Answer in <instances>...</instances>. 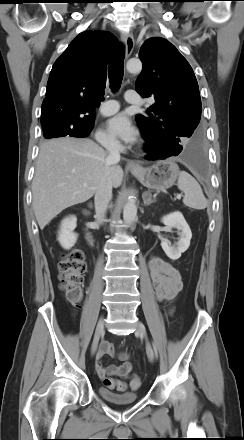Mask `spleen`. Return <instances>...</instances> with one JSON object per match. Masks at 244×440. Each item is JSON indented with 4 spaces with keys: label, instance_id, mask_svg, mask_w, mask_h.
I'll return each mask as SVG.
<instances>
[{
    "label": "spleen",
    "instance_id": "1",
    "mask_svg": "<svg viewBox=\"0 0 244 440\" xmlns=\"http://www.w3.org/2000/svg\"><path fill=\"white\" fill-rule=\"evenodd\" d=\"M178 189L184 193L183 203L189 208L203 210L208 202L199 183L187 172H179Z\"/></svg>",
    "mask_w": 244,
    "mask_h": 440
}]
</instances>
